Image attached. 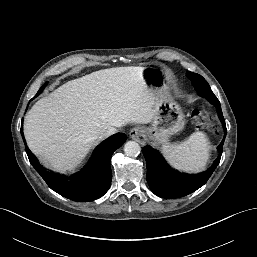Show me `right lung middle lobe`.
<instances>
[{
	"instance_id": "1",
	"label": "right lung middle lobe",
	"mask_w": 257,
	"mask_h": 257,
	"mask_svg": "<svg viewBox=\"0 0 257 257\" xmlns=\"http://www.w3.org/2000/svg\"><path fill=\"white\" fill-rule=\"evenodd\" d=\"M45 86H46V84L43 85V86L40 88V90L38 91L37 95L40 94V93L43 91V89L45 88Z\"/></svg>"
}]
</instances>
